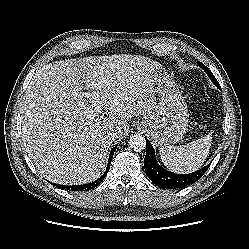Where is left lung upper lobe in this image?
Masks as SVG:
<instances>
[{
    "instance_id": "5c2ea615",
    "label": "left lung upper lobe",
    "mask_w": 249,
    "mask_h": 249,
    "mask_svg": "<svg viewBox=\"0 0 249 249\" xmlns=\"http://www.w3.org/2000/svg\"><path fill=\"white\" fill-rule=\"evenodd\" d=\"M198 65L207 73V75L209 76V78L211 79V81L213 82V84L217 87V88H221L218 81L216 80L215 76L212 74V72L201 62H198Z\"/></svg>"
}]
</instances>
